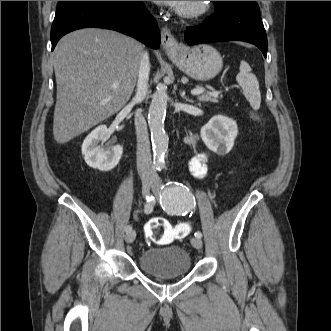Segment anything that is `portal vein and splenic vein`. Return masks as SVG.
I'll use <instances>...</instances> for the list:
<instances>
[{"label":"portal vein and splenic vein","mask_w":331,"mask_h":331,"mask_svg":"<svg viewBox=\"0 0 331 331\" xmlns=\"http://www.w3.org/2000/svg\"><path fill=\"white\" fill-rule=\"evenodd\" d=\"M112 87L114 88V89H116L117 87H118V83H113L112 84ZM201 93H203V90L202 89H199V88H197V89H193L192 91H191V94L192 95H200ZM210 95H212V96H217L218 94H219V92H211V93H209Z\"/></svg>","instance_id":"portal-vein-and-splenic-vein-1"}]
</instances>
